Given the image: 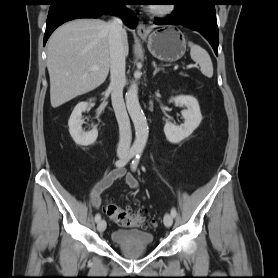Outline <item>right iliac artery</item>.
Returning <instances> with one entry per match:
<instances>
[{"instance_id": "right-iliac-artery-1", "label": "right iliac artery", "mask_w": 278, "mask_h": 278, "mask_svg": "<svg viewBox=\"0 0 278 278\" xmlns=\"http://www.w3.org/2000/svg\"><path fill=\"white\" fill-rule=\"evenodd\" d=\"M137 152H138L137 149L132 148L129 151L127 157L119 159V160H117L115 162L116 167H123V166H125L137 154ZM100 220H101L100 214H96L95 215V221L99 222Z\"/></svg>"}]
</instances>
